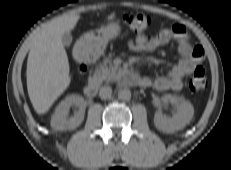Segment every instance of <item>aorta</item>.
I'll return each mask as SVG.
<instances>
[{"mask_svg":"<svg viewBox=\"0 0 231 170\" xmlns=\"http://www.w3.org/2000/svg\"><path fill=\"white\" fill-rule=\"evenodd\" d=\"M118 98L124 101L131 99V91L128 88L120 89L118 92Z\"/></svg>","mask_w":231,"mask_h":170,"instance_id":"762f6f07","label":"aorta"}]
</instances>
